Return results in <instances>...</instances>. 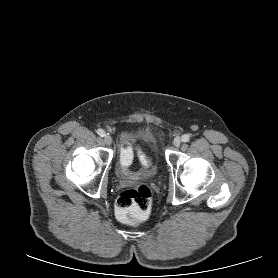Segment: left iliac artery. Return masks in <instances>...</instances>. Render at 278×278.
Returning a JSON list of instances; mask_svg holds the SVG:
<instances>
[{"mask_svg": "<svg viewBox=\"0 0 278 278\" xmlns=\"http://www.w3.org/2000/svg\"><path fill=\"white\" fill-rule=\"evenodd\" d=\"M189 140H190L189 134H184V135L182 136V141H183V142H188Z\"/></svg>", "mask_w": 278, "mask_h": 278, "instance_id": "44dca946", "label": "left iliac artery"}]
</instances>
